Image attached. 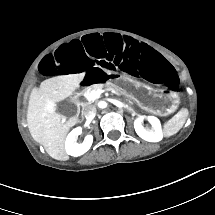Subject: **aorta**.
Here are the masks:
<instances>
[{
    "label": "aorta",
    "mask_w": 215,
    "mask_h": 215,
    "mask_svg": "<svg viewBox=\"0 0 215 215\" xmlns=\"http://www.w3.org/2000/svg\"><path fill=\"white\" fill-rule=\"evenodd\" d=\"M98 107L101 109H104L107 107V103L105 101H99L98 102Z\"/></svg>",
    "instance_id": "aorta-1"
}]
</instances>
